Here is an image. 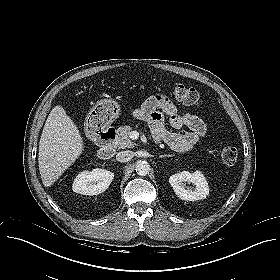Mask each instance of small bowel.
<instances>
[{
	"instance_id": "obj_1",
	"label": "small bowel",
	"mask_w": 280,
	"mask_h": 280,
	"mask_svg": "<svg viewBox=\"0 0 280 280\" xmlns=\"http://www.w3.org/2000/svg\"><path fill=\"white\" fill-rule=\"evenodd\" d=\"M133 115L148 122L155 137L177 152L191 150L207 134V125L200 117L182 112L163 95L148 98L133 110ZM167 124L177 131H170ZM182 127L188 130H180Z\"/></svg>"
}]
</instances>
